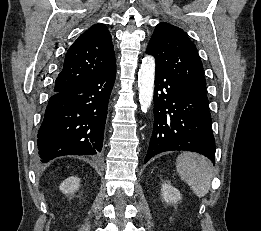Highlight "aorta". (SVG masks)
I'll list each match as a JSON object with an SVG mask.
<instances>
[{
  "label": "aorta",
  "instance_id": "aorta-1",
  "mask_svg": "<svg viewBox=\"0 0 261 231\" xmlns=\"http://www.w3.org/2000/svg\"><path fill=\"white\" fill-rule=\"evenodd\" d=\"M155 59L147 56L142 60L138 73L139 102L142 112L146 113L153 99Z\"/></svg>",
  "mask_w": 261,
  "mask_h": 231
}]
</instances>
